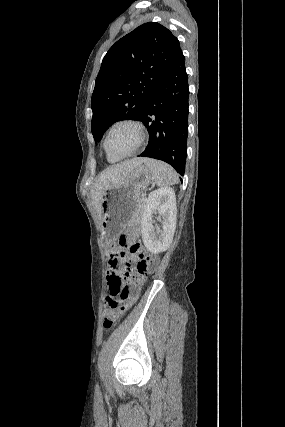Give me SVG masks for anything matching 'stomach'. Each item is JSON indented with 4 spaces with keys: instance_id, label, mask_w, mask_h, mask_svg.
<instances>
[{
    "instance_id": "1",
    "label": "stomach",
    "mask_w": 285,
    "mask_h": 427,
    "mask_svg": "<svg viewBox=\"0 0 285 427\" xmlns=\"http://www.w3.org/2000/svg\"><path fill=\"white\" fill-rule=\"evenodd\" d=\"M153 179L149 168L141 164L124 180L105 191L101 202V237L105 242L112 240L128 223L136 220L140 194Z\"/></svg>"
}]
</instances>
